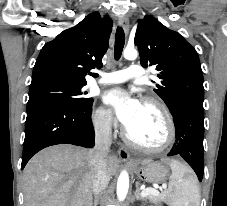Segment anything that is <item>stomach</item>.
Returning a JSON list of instances; mask_svg holds the SVG:
<instances>
[{"label":"stomach","instance_id":"0dacf381","mask_svg":"<svg viewBox=\"0 0 227 206\" xmlns=\"http://www.w3.org/2000/svg\"><path fill=\"white\" fill-rule=\"evenodd\" d=\"M134 170L139 179L149 183H163L169 175L168 168L161 162L142 161Z\"/></svg>","mask_w":227,"mask_h":206}]
</instances>
